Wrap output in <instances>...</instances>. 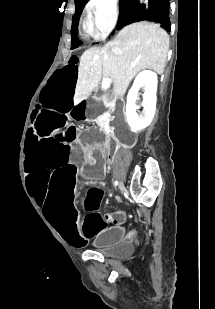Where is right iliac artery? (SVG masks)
<instances>
[{
	"label": "right iliac artery",
	"instance_id": "1",
	"mask_svg": "<svg viewBox=\"0 0 215 309\" xmlns=\"http://www.w3.org/2000/svg\"><path fill=\"white\" fill-rule=\"evenodd\" d=\"M114 185L117 186V185H118V181H115V182H114Z\"/></svg>",
	"mask_w": 215,
	"mask_h": 309
}]
</instances>
